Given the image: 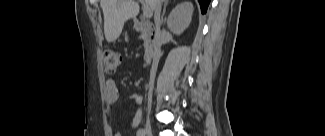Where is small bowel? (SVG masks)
Returning <instances> with one entry per match:
<instances>
[{
	"label": "small bowel",
	"instance_id": "small-bowel-1",
	"mask_svg": "<svg viewBox=\"0 0 325 136\" xmlns=\"http://www.w3.org/2000/svg\"><path fill=\"white\" fill-rule=\"evenodd\" d=\"M105 97L106 101L109 104H114L118 101L119 98V90L116 86V83L114 80L110 79L106 83V89H105ZM130 99L133 100L137 105H141L143 98L140 94L134 93L130 95ZM142 110L137 107L134 111V115L131 121V126L133 128H136L140 125L142 121ZM115 136H121L120 133H116Z\"/></svg>",
	"mask_w": 325,
	"mask_h": 136
}]
</instances>
